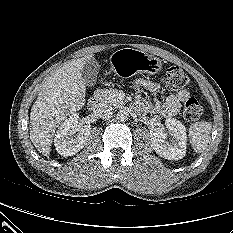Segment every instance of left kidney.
<instances>
[{"label":"left kidney","mask_w":233,"mask_h":233,"mask_svg":"<svg viewBox=\"0 0 233 233\" xmlns=\"http://www.w3.org/2000/svg\"><path fill=\"white\" fill-rule=\"evenodd\" d=\"M165 125L171 138L167 141L169 135L164 128H152L150 130L152 147L158 155L165 159H182L186 154V128L182 122L174 118L167 119Z\"/></svg>","instance_id":"obj_1"}]
</instances>
